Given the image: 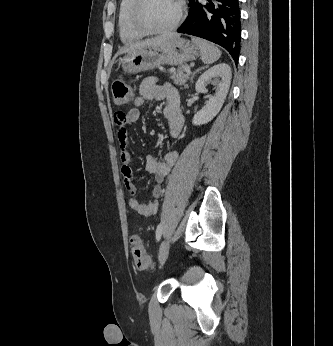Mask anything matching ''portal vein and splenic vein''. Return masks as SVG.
Masks as SVG:
<instances>
[{
    "mask_svg": "<svg viewBox=\"0 0 333 346\" xmlns=\"http://www.w3.org/2000/svg\"><path fill=\"white\" fill-rule=\"evenodd\" d=\"M185 72L190 73V67H185Z\"/></svg>",
    "mask_w": 333,
    "mask_h": 346,
    "instance_id": "18ae733b",
    "label": "portal vein and splenic vein"
}]
</instances>
